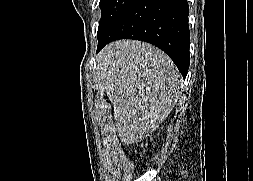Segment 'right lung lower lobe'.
Wrapping results in <instances>:
<instances>
[{"instance_id": "98d812e1", "label": "right lung lower lobe", "mask_w": 253, "mask_h": 181, "mask_svg": "<svg viewBox=\"0 0 253 181\" xmlns=\"http://www.w3.org/2000/svg\"><path fill=\"white\" fill-rule=\"evenodd\" d=\"M188 15L186 0H133L98 36L97 52L114 40H142L168 54L185 78L190 62Z\"/></svg>"}]
</instances>
